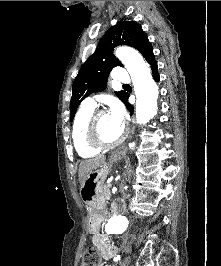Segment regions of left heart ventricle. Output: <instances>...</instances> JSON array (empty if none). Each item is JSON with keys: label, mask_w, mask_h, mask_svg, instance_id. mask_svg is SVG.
Returning a JSON list of instances; mask_svg holds the SVG:
<instances>
[{"label": "left heart ventricle", "mask_w": 221, "mask_h": 266, "mask_svg": "<svg viewBox=\"0 0 221 266\" xmlns=\"http://www.w3.org/2000/svg\"><path fill=\"white\" fill-rule=\"evenodd\" d=\"M98 129L102 139L105 141H114L120 136L123 127L114 123L108 114H104L98 120Z\"/></svg>", "instance_id": "b2bd125f"}]
</instances>
